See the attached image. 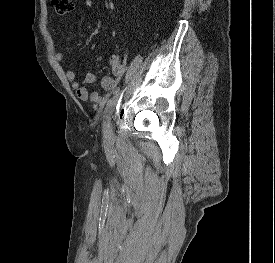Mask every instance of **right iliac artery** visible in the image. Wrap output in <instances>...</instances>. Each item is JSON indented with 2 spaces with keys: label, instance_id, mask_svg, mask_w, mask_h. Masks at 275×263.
<instances>
[{
  "label": "right iliac artery",
  "instance_id": "1",
  "mask_svg": "<svg viewBox=\"0 0 275 263\" xmlns=\"http://www.w3.org/2000/svg\"><path fill=\"white\" fill-rule=\"evenodd\" d=\"M141 63H142V57H140V56H137L133 60V62L131 63V65L128 68V71L126 73V77H125L126 82H128L130 79H132V77L134 76V74L138 70ZM118 95H119V92L107 102V105H106V108H105L104 128L106 126L107 121L110 119V117L112 115V112L114 110V107H115V105L118 101Z\"/></svg>",
  "mask_w": 275,
  "mask_h": 263
}]
</instances>
